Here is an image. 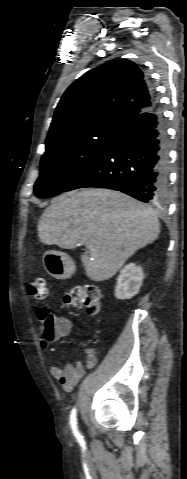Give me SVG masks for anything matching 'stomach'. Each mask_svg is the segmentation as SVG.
I'll list each match as a JSON object with an SVG mask.
<instances>
[{
  "label": "stomach",
  "instance_id": "1",
  "mask_svg": "<svg viewBox=\"0 0 187 479\" xmlns=\"http://www.w3.org/2000/svg\"><path fill=\"white\" fill-rule=\"evenodd\" d=\"M43 265L46 271L56 279L70 278L75 269L72 259L66 253L54 250L44 253Z\"/></svg>",
  "mask_w": 187,
  "mask_h": 479
}]
</instances>
